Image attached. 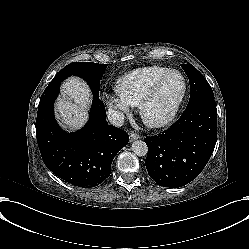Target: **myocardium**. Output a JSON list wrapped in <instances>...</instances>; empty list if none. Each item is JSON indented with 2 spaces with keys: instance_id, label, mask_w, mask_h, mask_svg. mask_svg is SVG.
Wrapping results in <instances>:
<instances>
[{
  "instance_id": "f54148a6",
  "label": "myocardium",
  "mask_w": 249,
  "mask_h": 249,
  "mask_svg": "<svg viewBox=\"0 0 249 249\" xmlns=\"http://www.w3.org/2000/svg\"><path fill=\"white\" fill-rule=\"evenodd\" d=\"M172 75H177L180 79V82H181V92H180L177 100L175 101L173 108L171 109L170 113L166 117H164L163 119L153 120V119L148 118L145 114L146 106L156 97L158 91L161 89V87L168 81V79ZM185 92H186V82H185V79H184L182 73L177 71V70H171V71L167 72L157 82V84L154 86V88L152 89L150 94L148 96H146L139 104L138 116H139L140 120L148 127H162V126L169 124L176 116V114H177V112L182 104V101L184 99Z\"/></svg>"
}]
</instances>
